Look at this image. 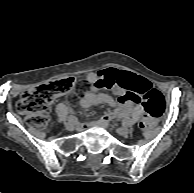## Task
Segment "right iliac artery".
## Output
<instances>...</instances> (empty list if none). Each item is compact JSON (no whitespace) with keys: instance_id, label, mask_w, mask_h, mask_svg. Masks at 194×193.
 I'll list each match as a JSON object with an SVG mask.
<instances>
[{"instance_id":"obj_1","label":"right iliac artery","mask_w":194,"mask_h":193,"mask_svg":"<svg viewBox=\"0 0 194 193\" xmlns=\"http://www.w3.org/2000/svg\"><path fill=\"white\" fill-rule=\"evenodd\" d=\"M68 120H69V121H73V122H77V121H78L77 117H76V116H73V115H70V116L68 117Z\"/></svg>"}]
</instances>
